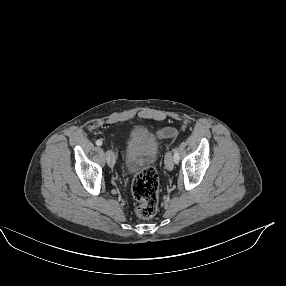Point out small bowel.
Returning <instances> with one entry per match:
<instances>
[{
	"label": "small bowel",
	"mask_w": 286,
	"mask_h": 286,
	"mask_svg": "<svg viewBox=\"0 0 286 286\" xmlns=\"http://www.w3.org/2000/svg\"><path fill=\"white\" fill-rule=\"evenodd\" d=\"M178 129L175 127H166L158 130V135L164 139H174L177 136Z\"/></svg>",
	"instance_id": "1"
}]
</instances>
